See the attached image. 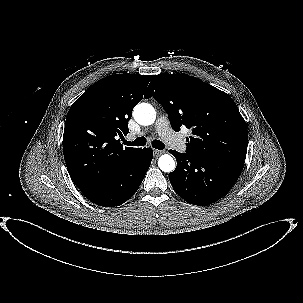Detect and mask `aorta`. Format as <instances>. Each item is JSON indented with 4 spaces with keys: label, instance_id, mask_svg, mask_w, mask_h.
Instances as JSON below:
<instances>
[{
    "label": "aorta",
    "instance_id": "1",
    "mask_svg": "<svg viewBox=\"0 0 303 303\" xmlns=\"http://www.w3.org/2000/svg\"><path fill=\"white\" fill-rule=\"evenodd\" d=\"M133 116L137 123L148 126L155 122L156 111L152 105L140 103L135 106ZM158 166L163 172H172L175 169V161L170 155L164 154L159 158Z\"/></svg>",
    "mask_w": 303,
    "mask_h": 303
}]
</instances>
